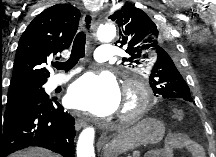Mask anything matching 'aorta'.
Segmentation results:
<instances>
[{"instance_id":"obj_1","label":"aorta","mask_w":216,"mask_h":157,"mask_svg":"<svg viewBox=\"0 0 216 157\" xmlns=\"http://www.w3.org/2000/svg\"><path fill=\"white\" fill-rule=\"evenodd\" d=\"M115 36L116 27L114 24H103L97 30V37L100 41L108 42L113 40ZM94 136L95 131L92 127H88L81 132L77 143V157H95Z\"/></svg>"}]
</instances>
